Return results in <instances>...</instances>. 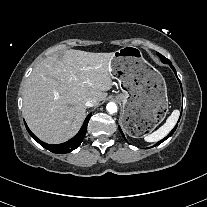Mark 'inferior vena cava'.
<instances>
[{"mask_svg":"<svg viewBox=\"0 0 207 207\" xmlns=\"http://www.w3.org/2000/svg\"><path fill=\"white\" fill-rule=\"evenodd\" d=\"M96 104V100L95 99H89L86 103H85V105L87 106V107H92V106H94Z\"/></svg>","mask_w":207,"mask_h":207,"instance_id":"1","label":"inferior vena cava"}]
</instances>
